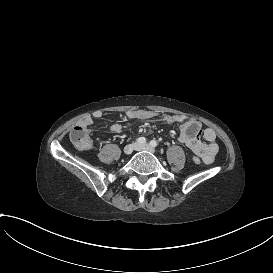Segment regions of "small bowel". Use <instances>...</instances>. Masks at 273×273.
Instances as JSON below:
<instances>
[{
	"mask_svg": "<svg viewBox=\"0 0 273 273\" xmlns=\"http://www.w3.org/2000/svg\"><path fill=\"white\" fill-rule=\"evenodd\" d=\"M103 113L100 110L94 111L91 115H85L91 120V125L94 119L102 118ZM163 117L164 121L169 124H179L178 139L188 147V141L191 138H198L204 143V150L201 153H195L202 158L204 163L212 164L218 152V144L216 142V133L211 128H204L202 123L185 115L164 114L161 115L158 111L137 109L130 110L125 114V120L132 121H151ZM123 126L120 123H114L110 126V130L114 133H120Z\"/></svg>",
	"mask_w": 273,
	"mask_h": 273,
	"instance_id": "1",
	"label": "small bowel"
}]
</instances>
